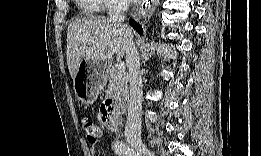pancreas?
<instances>
[{
  "instance_id": "cf45deb5",
  "label": "pancreas",
  "mask_w": 261,
  "mask_h": 156,
  "mask_svg": "<svg viewBox=\"0 0 261 156\" xmlns=\"http://www.w3.org/2000/svg\"><path fill=\"white\" fill-rule=\"evenodd\" d=\"M105 78L109 81V89L122 101L128 99V75L125 71H119L109 65L105 72Z\"/></svg>"
}]
</instances>
